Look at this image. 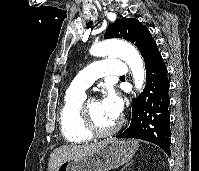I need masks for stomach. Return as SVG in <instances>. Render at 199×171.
<instances>
[{
    "mask_svg": "<svg viewBox=\"0 0 199 171\" xmlns=\"http://www.w3.org/2000/svg\"><path fill=\"white\" fill-rule=\"evenodd\" d=\"M137 148L134 140L109 139L95 152L63 162L56 171H109L130 160Z\"/></svg>",
    "mask_w": 199,
    "mask_h": 171,
    "instance_id": "1",
    "label": "stomach"
}]
</instances>
